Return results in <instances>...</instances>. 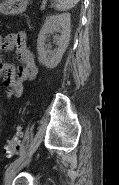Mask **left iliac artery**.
I'll use <instances>...</instances> for the list:
<instances>
[{
    "label": "left iliac artery",
    "instance_id": "obj_1",
    "mask_svg": "<svg viewBox=\"0 0 119 185\" xmlns=\"http://www.w3.org/2000/svg\"><path fill=\"white\" fill-rule=\"evenodd\" d=\"M23 160V156L19 157L15 161H13L8 168L6 169L5 175H7L13 168H15L21 161Z\"/></svg>",
    "mask_w": 119,
    "mask_h": 185
}]
</instances>
